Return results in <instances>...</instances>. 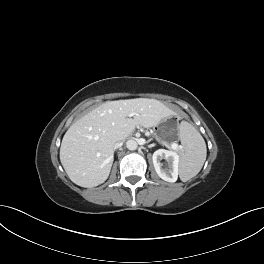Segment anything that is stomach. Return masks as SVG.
Wrapping results in <instances>:
<instances>
[{
    "instance_id": "0dacf381",
    "label": "stomach",
    "mask_w": 264,
    "mask_h": 264,
    "mask_svg": "<svg viewBox=\"0 0 264 264\" xmlns=\"http://www.w3.org/2000/svg\"><path fill=\"white\" fill-rule=\"evenodd\" d=\"M179 122L180 119L176 115L165 118L164 121L155 128V137L157 141L165 144L177 141L179 138Z\"/></svg>"
}]
</instances>
